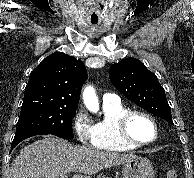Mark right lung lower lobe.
Here are the masks:
<instances>
[{"label":"right lung lower lobe","instance_id":"right-lung-lower-lobe-1","mask_svg":"<svg viewBox=\"0 0 194 178\" xmlns=\"http://www.w3.org/2000/svg\"><path fill=\"white\" fill-rule=\"evenodd\" d=\"M47 134L48 133L39 132V131H31V132H24V133L16 134L13 139L11 149L15 148L21 141H23L26 138H29L35 135H47Z\"/></svg>","mask_w":194,"mask_h":178}]
</instances>
